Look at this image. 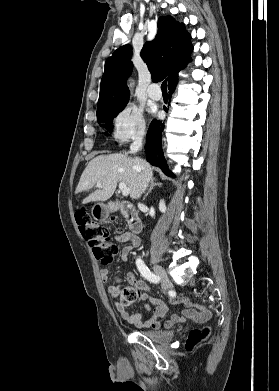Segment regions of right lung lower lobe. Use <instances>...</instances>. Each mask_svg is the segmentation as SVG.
Wrapping results in <instances>:
<instances>
[{
  "label": "right lung lower lobe",
  "instance_id": "right-lung-lower-lobe-1",
  "mask_svg": "<svg viewBox=\"0 0 279 391\" xmlns=\"http://www.w3.org/2000/svg\"><path fill=\"white\" fill-rule=\"evenodd\" d=\"M176 81L171 86H169V98L172 96L176 85ZM164 129V123L159 122L157 120H153L150 124L147 136H146V157L147 161L150 162L154 166H158L161 170L168 176H173V173L168 170L166 161L163 157L162 152V131Z\"/></svg>",
  "mask_w": 279,
  "mask_h": 391
}]
</instances>
